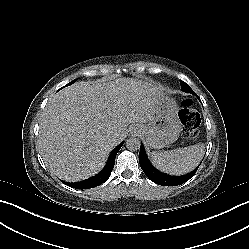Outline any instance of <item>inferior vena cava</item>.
I'll list each match as a JSON object with an SVG mask.
<instances>
[{"instance_id": "602c4592", "label": "inferior vena cava", "mask_w": 249, "mask_h": 249, "mask_svg": "<svg viewBox=\"0 0 249 249\" xmlns=\"http://www.w3.org/2000/svg\"><path fill=\"white\" fill-rule=\"evenodd\" d=\"M118 136L115 134V137L113 138V140H118Z\"/></svg>"}]
</instances>
